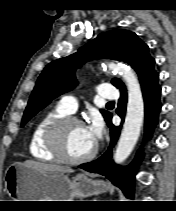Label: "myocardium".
I'll return each instance as SVG.
<instances>
[{
  "label": "myocardium",
  "mask_w": 176,
  "mask_h": 211,
  "mask_svg": "<svg viewBox=\"0 0 176 211\" xmlns=\"http://www.w3.org/2000/svg\"><path fill=\"white\" fill-rule=\"evenodd\" d=\"M84 125V122L76 116L66 115L55 120L47 129L45 140L48 150L59 160L69 164H81L91 160L98 151V146L95 143L94 147L87 154L80 157L69 156L64 148L63 134L65 129L72 125ZM85 126V125H84Z\"/></svg>",
  "instance_id": "f54148a6"
}]
</instances>
